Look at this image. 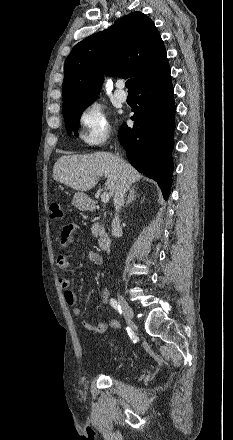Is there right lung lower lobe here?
<instances>
[{
  "instance_id": "98d812e1",
  "label": "right lung lower lobe",
  "mask_w": 233,
  "mask_h": 440,
  "mask_svg": "<svg viewBox=\"0 0 233 440\" xmlns=\"http://www.w3.org/2000/svg\"><path fill=\"white\" fill-rule=\"evenodd\" d=\"M133 127L123 124L118 140L133 167L154 179L167 199L173 170L174 90L169 65L134 88Z\"/></svg>"
}]
</instances>
